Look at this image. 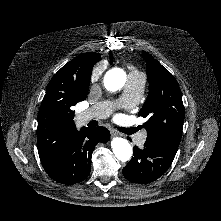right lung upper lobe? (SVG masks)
<instances>
[{
    "instance_id": "obj_1",
    "label": "right lung upper lobe",
    "mask_w": 221,
    "mask_h": 221,
    "mask_svg": "<svg viewBox=\"0 0 221 221\" xmlns=\"http://www.w3.org/2000/svg\"><path fill=\"white\" fill-rule=\"evenodd\" d=\"M99 53H85L64 65L51 79L38 113L37 147L48 173L64 141L76 130L72 106L87 97L93 65Z\"/></svg>"
}]
</instances>
